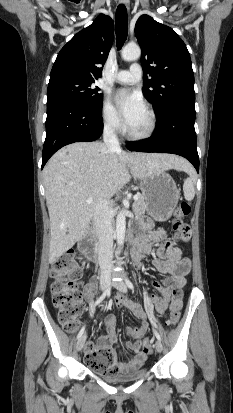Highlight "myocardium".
<instances>
[{
	"label": "myocardium",
	"mask_w": 233,
	"mask_h": 413,
	"mask_svg": "<svg viewBox=\"0 0 233 413\" xmlns=\"http://www.w3.org/2000/svg\"><path fill=\"white\" fill-rule=\"evenodd\" d=\"M145 111H146L147 116H148V126H147V128L143 132L136 133V132L131 131L129 129V127H126L125 133H126V136L129 139L135 140V141L146 140V139L152 137L153 134L155 133L156 128H157L156 114H155L154 110L149 105L145 106Z\"/></svg>",
	"instance_id": "1"
}]
</instances>
